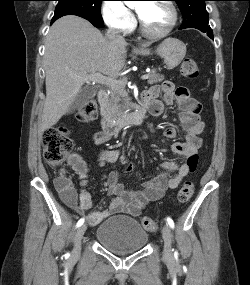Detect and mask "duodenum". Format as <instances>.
<instances>
[{
	"label": "duodenum",
	"instance_id": "1",
	"mask_svg": "<svg viewBox=\"0 0 250 285\" xmlns=\"http://www.w3.org/2000/svg\"><path fill=\"white\" fill-rule=\"evenodd\" d=\"M108 99V93L105 90L98 92V100L102 105H105ZM146 106H142L120 116V117H108L105 116L102 121V128L107 134L113 135L122 128L129 125H139L144 121L146 115Z\"/></svg>",
	"mask_w": 250,
	"mask_h": 285
}]
</instances>
